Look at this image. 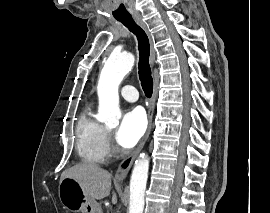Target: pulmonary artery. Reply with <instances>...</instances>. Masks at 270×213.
I'll list each match as a JSON object with an SVG mask.
<instances>
[{
  "label": "pulmonary artery",
  "instance_id": "obj_1",
  "mask_svg": "<svg viewBox=\"0 0 270 213\" xmlns=\"http://www.w3.org/2000/svg\"><path fill=\"white\" fill-rule=\"evenodd\" d=\"M121 96L128 102H136L139 98L138 92L133 86H124L121 89Z\"/></svg>",
  "mask_w": 270,
  "mask_h": 213
}]
</instances>
